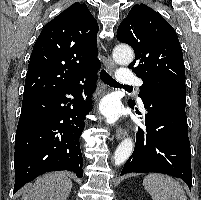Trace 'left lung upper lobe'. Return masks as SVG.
Returning a JSON list of instances; mask_svg holds the SVG:
<instances>
[{
	"label": "left lung upper lobe",
	"instance_id": "obj_1",
	"mask_svg": "<svg viewBox=\"0 0 201 200\" xmlns=\"http://www.w3.org/2000/svg\"><path fill=\"white\" fill-rule=\"evenodd\" d=\"M117 39L134 49L135 60L129 67L144 80L139 93L142 100L158 90H186L177 34L160 14L144 4L134 5L119 25ZM129 105H135L134 101Z\"/></svg>",
	"mask_w": 201,
	"mask_h": 200
}]
</instances>
